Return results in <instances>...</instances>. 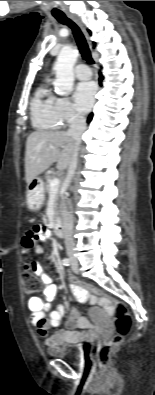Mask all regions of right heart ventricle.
Masks as SVG:
<instances>
[{
	"label": "right heart ventricle",
	"instance_id": "1",
	"mask_svg": "<svg viewBox=\"0 0 155 395\" xmlns=\"http://www.w3.org/2000/svg\"><path fill=\"white\" fill-rule=\"evenodd\" d=\"M55 100L56 97L51 92L47 81L38 86L31 101V120L35 128L40 130L59 128L54 112Z\"/></svg>",
	"mask_w": 155,
	"mask_h": 395
}]
</instances>
